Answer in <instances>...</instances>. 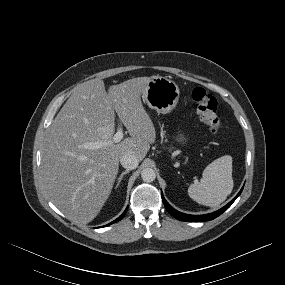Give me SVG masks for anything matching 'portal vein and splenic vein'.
I'll return each mask as SVG.
<instances>
[{"mask_svg": "<svg viewBox=\"0 0 285 285\" xmlns=\"http://www.w3.org/2000/svg\"><path fill=\"white\" fill-rule=\"evenodd\" d=\"M122 138H123V131H122V128H119L118 131L113 136V141L115 143H118L122 140ZM103 145H104V142H94V143L86 144L85 148L98 149V148H101Z\"/></svg>", "mask_w": 285, "mask_h": 285, "instance_id": "portal-vein-and-splenic-vein-1", "label": "portal vein and splenic vein"}]
</instances>
